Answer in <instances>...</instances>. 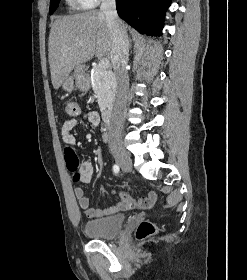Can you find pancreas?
Listing matches in <instances>:
<instances>
[{
  "label": "pancreas",
  "mask_w": 247,
  "mask_h": 280,
  "mask_svg": "<svg viewBox=\"0 0 247 280\" xmlns=\"http://www.w3.org/2000/svg\"><path fill=\"white\" fill-rule=\"evenodd\" d=\"M91 83L100 109H106L111 104L115 93L113 73L110 70L96 66L91 74Z\"/></svg>",
  "instance_id": "cf45deb5"
}]
</instances>
